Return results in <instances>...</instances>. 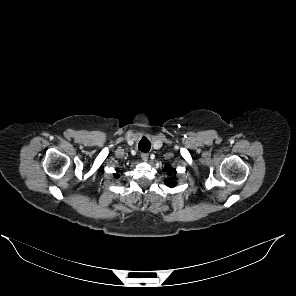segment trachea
Instances as JSON below:
<instances>
[{
	"mask_svg": "<svg viewBox=\"0 0 296 296\" xmlns=\"http://www.w3.org/2000/svg\"><path fill=\"white\" fill-rule=\"evenodd\" d=\"M151 148V143L147 138H142L138 144V149L141 152L147 153Z\"/></svg>",
	"mask_w": 296,
	"mask_h": 296,
	"instance_id": "1",
	"label": "trachea"
}]
</instances>
